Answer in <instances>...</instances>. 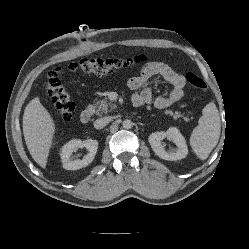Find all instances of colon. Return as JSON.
Wrapping results in <instances>:
<instances>
[{
	"instance_id": "obj_1",
	"label": "colon",
	"mask_w": 249,
	"mask_h": 249,
	"mask_svg": "<svg viewBox=\"0 0 249 249\" xmlns=\"http://www.w3.org/2000/svg\"><path fill=\"white\" fill-rule=\"evenodd\" d=\"M145 59L144 56H137L129 59L84 58L77 62L70 63L67 70L72 72L104 75L126 70L133 65L144 62ZM62 72L63 69L61 68L49 72L45 86L55 104L58 115L62 120L70 121L75 110V103L61 82L60 75ZM185 78L192 87L198 90L206 89L205 81L195 73H187Z\"/></svg>"
}]
</instances>
